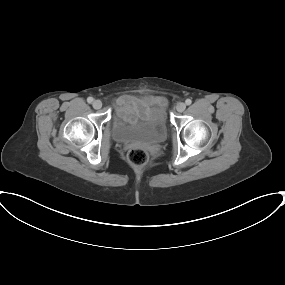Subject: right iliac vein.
<instances>
[{"label": "right iliac vein", "mask_w": 285, "mask_h": 285, "mask_svg": "<svg viewBox=\"0 0 285 285\" xmlns=\"http://www.w3.org/2000/svg\"><path fill=\"white\" fill-rule=\"evenodd\" d=\"M92 105L94 109H100L102 107V102L100 100H95Z\"/></svg>", "instance_id": "1"}]
</instances>
